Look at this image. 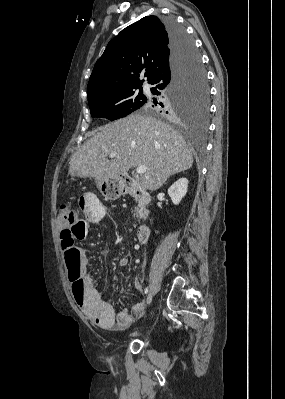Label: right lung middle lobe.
Returning <instances> with one entry per match:
<instances>
[{"instance_id": "obj_1", "label": "right lung middle lobe", "mask_w": 285, "mask_h": 399, "mask_svg": "<svg viewBox=\"0 0 285 399\" xmlns=\"http://www.w3.org/2000/svg\"><path fill=\"white\" fill-rule=\"evenodd\" d=\"M190 39L192 40L191 37ZM137 89L124 90L88 101L91 117L106 118L113 121L126 117L142 106L154 109L161 114L180 118L194 115L205 117L208 113L209 89L201 58L196 48L192 62L187 66L180 81L171 89L170 93L165 91L161 94L162 97L171 102L170 108L166 109L159 103L153 105L152 101L143 94L142 87H139V91Z\"/></svg>"}]
</instances>
